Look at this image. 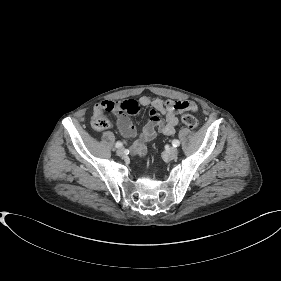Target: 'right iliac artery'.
I'll use <instances>...</instances> for the list:
<instances>
[{
    "label": "right iliac artery",
    "instance_id": "right-iliac-artery-1",
    "mask_svg": "<svg viewBox=\"0 0 281 281\" xmlns=\"http://www.w3.org/2000/svg\"><path fill=\"white\" fill-rule=\"evenodd\" d=\"M122 145H123V143L118 141V142H116L115 147L120 148V147H122Z\"/></svg>",
    "mask_w": 281,
    "mask_h": 281
}]
</instances>
